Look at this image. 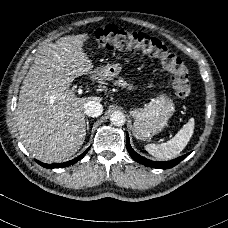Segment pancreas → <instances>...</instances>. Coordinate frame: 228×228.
<instances>
[{
  "instance_id": "obj_1",
  "label": "pancreas",
  "mask_w": 228,
  "mask_h": 228,
  "mask_svg": "<svg viewBox=\"0 0 228 228\" xmlns=\"http://www.w3.org/2000/svg\"><path fill=\"white\" fill-rule=\"evenodd\" d=\"M114 85L123 87V88H128V90L133 89L134 87L132 85H129L126 81L123 80V78H119L114 82Z\"/></svg>"
}]
</instances>
